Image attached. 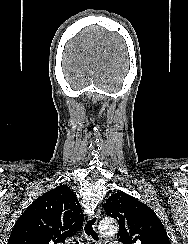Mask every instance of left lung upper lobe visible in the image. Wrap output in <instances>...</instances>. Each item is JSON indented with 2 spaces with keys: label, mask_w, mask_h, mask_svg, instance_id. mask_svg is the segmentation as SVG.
I'll use <instances>...</instances> for the list:
<instances>
[{
  "label": "left lung upper lobe",
  "mask_w": 188,
  "mask_h": 244,
  "mask_svg": "<svg viewBox=\"0 0 188 244\" xmlns=\"http://www.w3.org/2000/svg\"><path fill=\"white\" fill-rule=\"evenodd\" d=\"M107 216L119 223L117 239L124 244H170L154 211L132 196L118 192L103 205Z\"/></svg>",
  "instance_id": "1"
}]
</instances>
